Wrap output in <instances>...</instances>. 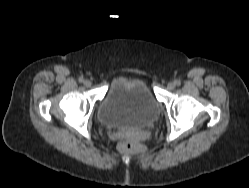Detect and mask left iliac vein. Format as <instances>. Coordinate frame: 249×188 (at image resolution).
<instances>
[{"label":"left iliac vein","instance_id":"1","mask_svg":"<svg viewBox=\"0 0 249 188\" xmlns=\"http://www.w3.org/2000/svg\"><path fill=\"white\" fill-rule=\"evenodd\" d=\"M167 88L170 89V90H172V89L175 88V84H174L173 82H169V83L167 84Z\"/></svg>","mask_w":249,"mask_h":188}]
</instances>
